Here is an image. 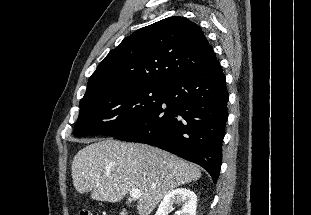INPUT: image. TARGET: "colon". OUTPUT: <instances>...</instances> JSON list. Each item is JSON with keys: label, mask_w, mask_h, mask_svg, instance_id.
<instances>
[{"label": "colon", "mask_w": 311, "mask_h": 215, "mask_svg": "<svg viewBox=\"0 0 311 215\" xmlns=\"http://www.w3.org/2000/svg\"><path fill=\"white\" fill-rule=\"evenodd\" d=\"M80 215H92V213L90 211H88V210H82L80 212Z\"/></svg>", "instance_id": "5ec220e1"}]
</instances>
